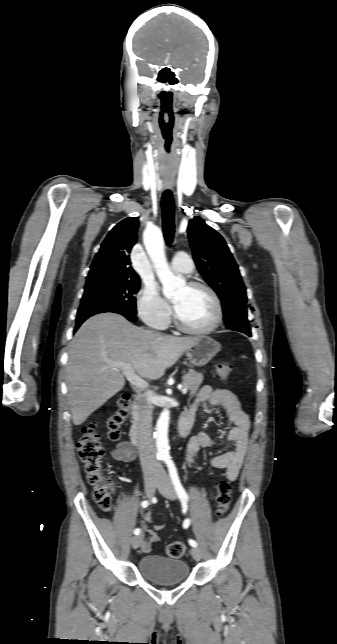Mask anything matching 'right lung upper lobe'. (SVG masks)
<instances>
[{"mask_svg": "<svg viewBox=\"0 0 337 644\" xmlns=\"http://www.w3.org/2000/svg\"><path fill=\"white\" fill-rule=\"evenodd\" d=\"M138 218L129 217L118 223L103 241L96 254L87 282L95 280H139L130 267L129 253L137 241Z\"/></svg>", "mask_w": 337, "mask_h": 644, "instance_id": "cb5924a9", "label": "right lung upper lobe"}]
</instances>
